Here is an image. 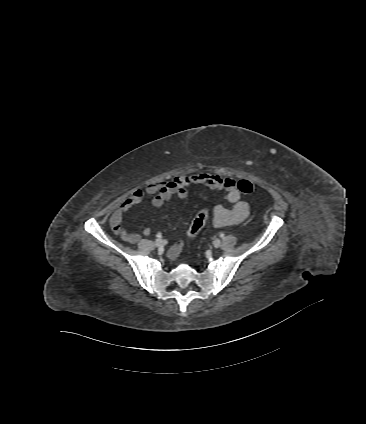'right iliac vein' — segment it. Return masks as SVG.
<instances>
[{"label": "right iliac vein", "mask_w": 366, "mask_h": 424, "mask_svg": "<svg viewBox=\"0 0 366 424\" xmlns=\"http://www.w3.org/2000/svg\"><path fill=\"white\" fill-rule=\"evenodd\" d=\"M155 245L157 246V247H162L163 245H164V241L162 240V239H157L156 241H155Z\"/></svg>", "instance_id": "right-iliac-vein-1"}]
</instances>
